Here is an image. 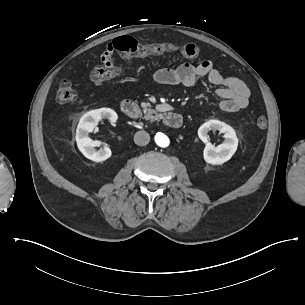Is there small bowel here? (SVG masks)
Returning <instances> with one entry per match:
<instances>
[{"instance_id": "obj_1", "label": "small bowel", "mask_w": 305, "mask_h": 305, "mask_svg": "<svg viewBox=\"0 0 305 305\" xmlns=\"http://www.w3.org/2000/svg\"><path fill=\"white\" fill-rule=\"evenodd\" d=\"M100 59L109 65L114 63V44L107 42L101 48ZM200 78H206L210 83L220 86L216 90L221 99L219 108L223 111L236 112L244 109L249 102L250 89L246 83L236 77L224 76L210 60H204L197 65L181 64L175 68H162L153 72L154 82L162 85H181L190 87Z\"/></svg>"}]
</instances>
